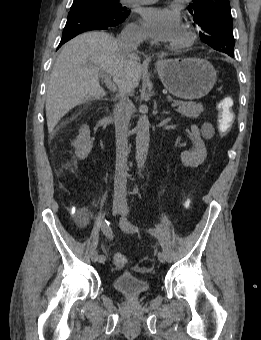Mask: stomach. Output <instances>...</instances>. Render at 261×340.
<instances>
[{"instance_id":"obj_1","label":"stomach","mask_w":261,"mask_h":340,"mask_svg":"<svg viewBox=\"0 0 261 340\" xmlns=\"http://www.w3.org/2000/svg\"><path fill=\"white\" fill-rule=\"evenodd\" d=\"M164 87L174 96L195 100L213 88L217 73L211 63L200 58L163 60L156 63Z\"/></svg>"}]
</instances>
